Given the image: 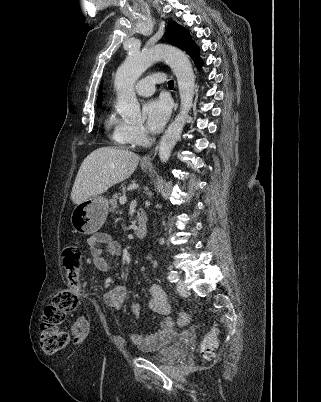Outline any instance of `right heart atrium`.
I'll return each mask as SVG.
<instances>
[{
  "label": "right heart atrium",
  "mask_w": 321,
  "mask_h": 402,
  "mask_svg": "<svg viewBox=\"0 0 321 402\" xmlns=\"http://www.w3.org/2000/svg\"><path fill=\"white\" fill-rule=\"evenodd\" d=\"M131 138L133 144L137 146L145 145L148 140L146 130L141 125H132Z\"/></svg>",
  "instance_id": "right-heart-atrium-1"
}]
</instances>
